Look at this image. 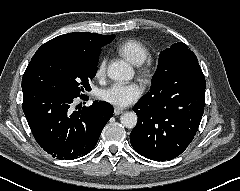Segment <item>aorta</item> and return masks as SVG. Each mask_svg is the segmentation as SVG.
<instances>
[{
	"instance_id": "aorta-1",
	"label": "aorta",
	"mask_w": 240,
	"mask_h": 191,
	"mask_svg": "<svg viewBox=\"0 0 240 191\" xmlns=\"http://www.w3.org/2000/svg\"><path fill=\"white\" fill-rule=\"evenodd\" d=\"M107 75L115 81L131 80L134 76V70L127 62L118 60L108 66ZM120 120L124 127L132 129L137 125L138 117L135 112H126Z\"/></svg>"
}]
</instances>
